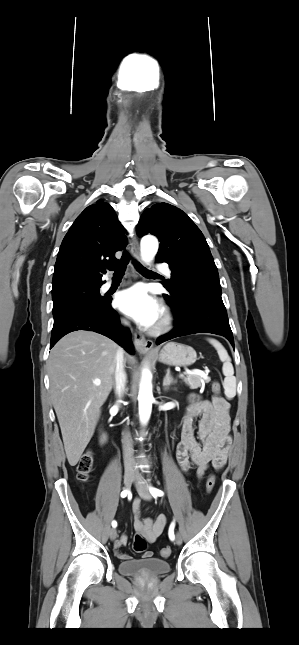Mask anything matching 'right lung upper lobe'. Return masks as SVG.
I'll return each mask as SVG.
<instances>
[{
    "instance_id": "cb5924a9",
    "label": "right lung upper lobe",
    "mask_w": 299,
    "mask_h": 645,
    "mask_svg": "<svg viewBox=\"0 0 299 645\" xmlns=\"http://www.w3.org/2000/svg\"><path fill=\"white\" fill-rule=\"evenodd\" d=\"M127 245L113 208L99 200L88 206L65 235L55 263L52 291L77 284H103L105 263Z\"/></svg>"
}]
</instances>
